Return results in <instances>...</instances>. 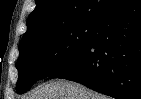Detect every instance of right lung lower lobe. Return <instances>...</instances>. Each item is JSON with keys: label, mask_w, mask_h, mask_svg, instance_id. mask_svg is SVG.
Instances as JSON below:
<instances>
[{"label": "right lung lower lobe", "mask_w": 141, "mask_h": 99, "mask_svg": "<svg viewBox=\"0 0 141 99\" xmlns=\"http://www.w3.org/2000/svg\"><path fill=\"white\" fill-rule=\"evenodd\" d=\"M50 77L116 99H141V0H125L102 17L91 41Z\"/></svg>", "instance_id": "98d812e1"}]
</instances>
